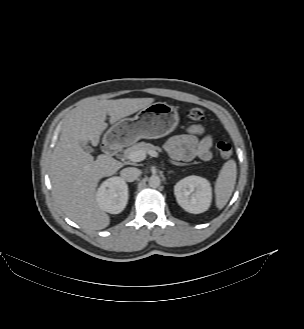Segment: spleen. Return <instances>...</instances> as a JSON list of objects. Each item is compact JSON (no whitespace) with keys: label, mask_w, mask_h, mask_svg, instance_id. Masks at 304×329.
<instances>
[{"label":"spleen","mask_w":304,"mask_h":329,"mask_svg":"<svg viewBox=\"0 0 304 329\" xmlns=\"http://www.w3.org/2000/svg\"><path fill=\"white\" fill-rule=\"evenodd\" d=\"M236 177V162L231 159L222 166L215 183L216 206L219 209H222L230 199L236 184Z\"/></svg>","instance_id":"3e777b00"}]
</instances>
